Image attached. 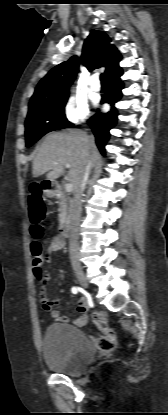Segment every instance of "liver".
Returning a JSON list of instances; mask_svg holds the SVG:
<instances>
[{
	"label": "liver",
	"mask_w": 168,
	"mask_h": 415,
	"mask_svg": "<svg viewBox=\"0 0 168 415\" xmlns=\"http://www.w3.org/2000/svg\"><path fill=\"white\" fill-rule=\"evenodd\" d=\"M100 155L95 146L91 145L90 136L79 129H68L48 134L33 160L32 174L34 177L47 173L49 180L61 176L68 164L66 180L77 185L85 166L90 161L92 166L99 160Z\"/></svg>",
	"instance_id": "1"
}]
</instances>
